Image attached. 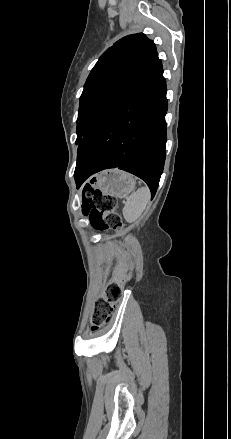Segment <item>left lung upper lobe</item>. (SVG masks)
<instances>
[{"label": "left lung upper lobe", "instance_id": "5c2ea615", "mask_svg": "<svg viewBox=\"0 0 231 439\" xmlns=\"http://www.w3.org/2000/svg\"><path fill=\"white\" fill-rule=\"evenodd\" d=\"M162 65L156 46L143 33L108 48L90 72L80 97L76 144L138 83Z\"/></svg>", "mask_w": 231, "mask_h": 439}]
</instances>
